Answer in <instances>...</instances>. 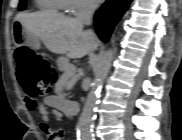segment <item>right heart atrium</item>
I'll list each match as a JSON object with an SVG mask.
<instances>
[{"label":"right heart atrium","mask_w":182,"mask_h":140,"mask_svg":"<svg viewBox=\"0 0 182 140\" xmlns=\"http://www.w3.org/2000/svg\"><path fill=\"white\" fill-rule=\"evenodd\" d=\"M94 5L90 0H66L64 9L71 14L79 15L90 12Z\"/></svg>","instance_id":"d8ad5b80"}]
</instances>
